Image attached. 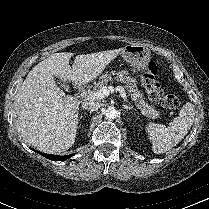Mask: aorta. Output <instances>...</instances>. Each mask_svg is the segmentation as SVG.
<instances>
[{"label": "aorta", "mask_w": 209, "mask_h": 209, "mask_svg": "<svg viewBox=\"0 0 209 209\" xmlns=\"http://www.w3.org/2000/svg\"><path fill=\"white\" fill-rule=\"evenodd\" d=\"M117 110L114 107H109L108 109H106L105 111V117L108 120H113L117 117Z\"/></svg>", "instance_id": "aorta-1"}]
</instances>
